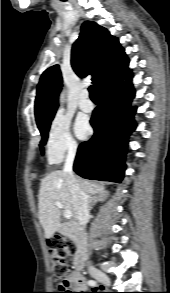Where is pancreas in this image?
<instances>
[{
	"label": "pancreas",
	"mask_w": 170,
	"mask_h": 293,
	"mask_svg": "<svg viewBox=\"0 0 170 293\" xmlns=\"http://www.w3.org/2000/svg\"><path fill=\"white\" fill-rule=\"evenodd\" d=\"M69 237H71V236H69ZM72 238H73V240H74L76 243H78V239H77V237L73 236Z\"/></svg>",
	"instance_id": "cf45deb5"
}]
</instances>
